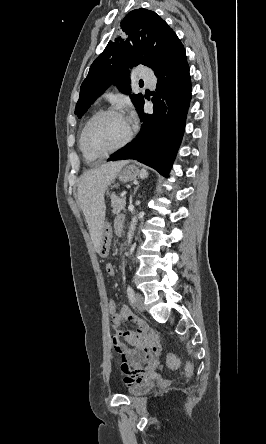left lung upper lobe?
<instances>
[{
  "label": "left lung upper lobe",
  "mask_w": 266,
  "mask_h": 444,
  "mask_svg": "<svg viewBox=\"0 0 266 444\" xmlns=\"http://www.w3.org/2000/svg\"><path fill=\"white\" fill-rule=\"evenodd\" d=\"M119 30L123 35L108 43L81 85L75 107L79 118L113 82L130 94L128 68L143 64L156 75L185 52L175 32L153 11L140 8L129 12L121 21ZM130 97L139 110L143 95L132 94Z\"/></svg>",
  "instance_id": "1"
}]
</instances>
